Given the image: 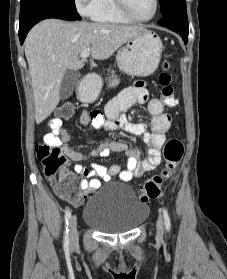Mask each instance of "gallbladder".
<instances>
[{
    "instance_id": "1",
    "label": "gallbladder",
    "mask_w": 227,
    "mask_h": 279,
    "mask_svg": "<svg viewBox=\"0 0 227 279\" xmlns=\"http://www.w3.org/2000/svg\"><path fill=\"white\" fill-rule=\"evenodd\" d=\"M80 73L74 70H67L60 85V98L65 100L69 98L80 79Z\"/></svg>"
}]
</instances>
